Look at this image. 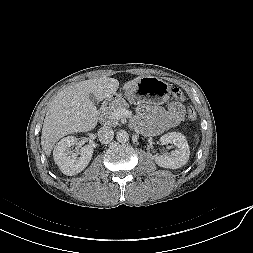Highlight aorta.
<instances>
[{
  "label": "aorta",
  "instance_id": "762f6f07",
  "mask_svg": "<svg viewBox=\"0 0 253 253\" xmlns=\"http://www.w3.org/2000/svg\"><path fill=\"white\" fill-rule=\"evenodd\" d=\"M116 139L118 142H127L129 140V135L127 133V131L125 130H119L116 134Z\"/></svg>",
  "mask_w": 253,
  "mask_h": 253
}]
</instances>
